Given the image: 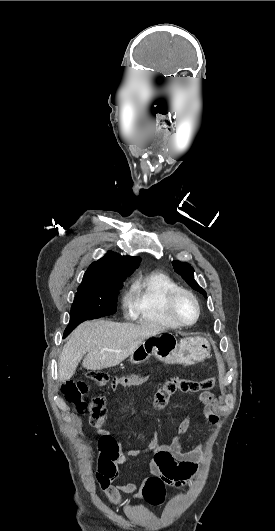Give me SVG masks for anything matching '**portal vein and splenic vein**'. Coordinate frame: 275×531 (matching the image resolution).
Wrapping results in <instances>:
<instances>
[{
    "instance_id": "18ae733b",
    "label": "portal vein and splenic vein",
    "mask_w": 275,
    "mask_h": 531,
    "mask_svg": "<svg viewBox=\"0 0 275 531\" xmlns=\"http://www.w3.org/2000/svg\"><path fill=\"white\" fill-rule=\"evenodd\" d=\"M103 351H109V349H103Z\"/></svg>"
}]
</instances>
